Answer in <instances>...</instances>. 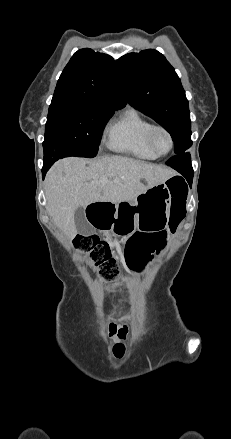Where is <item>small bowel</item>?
I'll list each match as a JSON object with an SVG mask.
<instances>
[{"instance_id": "c3829d8e", "label": "small bowel", "mask_w": 231, "mask_h": 439, "mask_svg": "<svg viewBox=\"0 0 231 439\" xmlns=\"http://www.w3.org/2000/svg\"><path fill=\"white\" fill-rule=\"evenodd\" d=\"M173 232L170 227L163 226L161 228L145 231L140 229L137 235L142 237V241L138 246V252L131 245L130 241L127 245V257L134 265H146L150 263L156 255H158L165 247L168 237ZM132 239V238H131ZM110 334L117 340L114 347V355L120 357L124 353L123 340L127 335L125 326L115 323L110 324Z\"/></svg>"}]
</instances>
